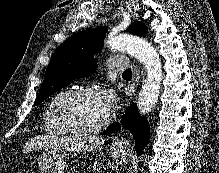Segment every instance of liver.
Wrapping results in <instances>:
<instances>
[{
	"mask_svg": "<svg viewBox=\"0 0 219 173\" xmlns=\"http://www.w3.org/2000/svg\"><path fill=\"white\" fill-rule=\"evenodd\" d=\"M105 139L97 136L78 137L56 139L50 136H36L32 138L23 148V153L26 154L34 149L54 148L70 152H87L93 151L100 145L104 144Z\"/></svg>",
	"mask_w": 219,
	"mask_h": 173,
	"instance_id": "obj_1",
	"label": "liver"
}]
</instances>
